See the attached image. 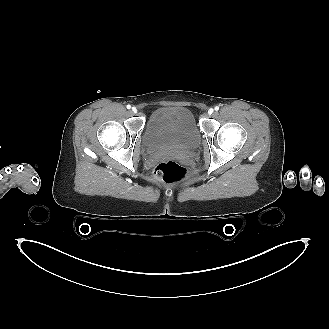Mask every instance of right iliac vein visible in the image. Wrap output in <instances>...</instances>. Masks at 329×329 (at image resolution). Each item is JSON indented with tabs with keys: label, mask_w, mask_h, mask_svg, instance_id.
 Listing matches in <instances>:
<instances>
[{
	"label": "right iliac vein",
	"mask_w": 329,
	"mask_h": 329,
	"mask_svg": "<svg viewBox=\"0 0 329 329\" xmlns=\"http://www.w3.org/2000/svg\"><path fill=\"white\" fill-rule=\"evenodd\" d=\"M132 111H133L134 113H137V109H136L135 107L132 108Z\"/></svg>",
	"instance_id": "63e3f726"
}]
</instances>
